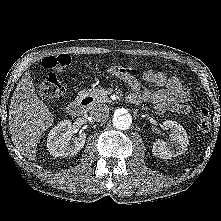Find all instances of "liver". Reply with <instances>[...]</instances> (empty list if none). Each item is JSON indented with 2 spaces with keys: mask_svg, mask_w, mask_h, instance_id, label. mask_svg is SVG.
Segmentation results:
<instances>
[{
  "mask_svg": "<svg viewBox=\"0 0 221 221\" xmlns=\"http://www.w3.org/2000/svg\"><path fill=\"white\" fill-rule=\"evenodd\" d=\"M54 118L47 106L37 97L26 72L17 84L9 110V132L16 148L29 160H35L36 146Z\"/></svg>",
  "mask_w": 221,
  "mask_h": 221,
  "instance_id": "6515ba94",
  "label": "liver"
}]
</instances>
